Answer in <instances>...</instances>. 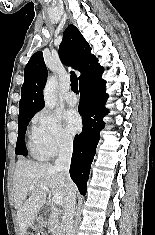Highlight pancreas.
<instances>
[{"mask_svg":"<svg viewBox=\"0 0 155 235\" xmlns=\"http://www.w3.org/2000/svg\"><path fill=\"white\" fill-rule=\"evenodd\" d=\"M48 226L52 235H63V223L59 221L57 214H53L49 218Z\"/></svg>","mask_w":155,"mask_h":235,"instance_id":"pancreas-1","label":"pancreas"}]
</instances>
